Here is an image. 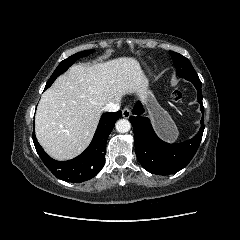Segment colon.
<instances>
[{
    "mask_svg": "<svg viewBox=\"0 0 240 240\" xmlns=\"http://www.w3.org/2000/svg\"><path fill=\"white\" fill-rule=\"evenodd\" d=\"M172 99L173 101L177 102V103H181L182 99H183V94L180 90H174L172 92Z\"/></svg>",
    "mask_w": 240,
    "mask_h": 240,
    "instance_id": "1",
    "label": "colon"
}]
</instances>
